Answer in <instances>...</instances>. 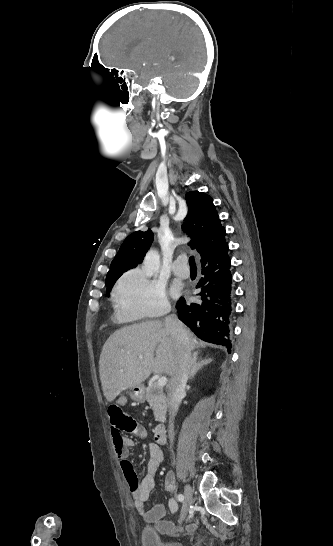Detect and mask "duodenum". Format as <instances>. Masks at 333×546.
Here are the masks:
<instances>
[{"mask_svg": "<svg viewBox=\"0 0 333 546\" xmlns=\"http://www.w3.org/2000/svg\"><path fill=\"white\" fill-rule=\"evenodd\" d=\"M154 436H155V441L160 444V445H163L165 443H167V429L164 425H159L155 428V432H154Z\"/></svg>", "mask_w": 333, "mask_h": 546, "instance_id": "410a0bca", "label": "duodenum"}]
</instances>
